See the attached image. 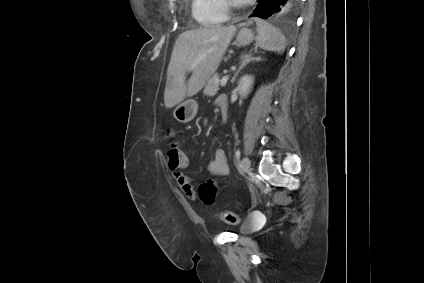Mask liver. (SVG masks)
Returning <instances> with one entry per match:
<instances>
[{
    "label": "liver",
    "mask_w": 424,
    "mask_h": 283,
    "mask_svg": "<svg viewBox=\"0 0 424 283\" xmlns=\"http://www.w3.org/2000/svg\"><path fill=\"white\" fill-rule=\"evenodd\" d=\"M237 28L212 26L181 33L175 41L164 92L166 108L198 93L216 72ZM191 77L185 82L186 73Z\"/></svg>",
    "instance_id": "obj_1"
}]
</instances>
